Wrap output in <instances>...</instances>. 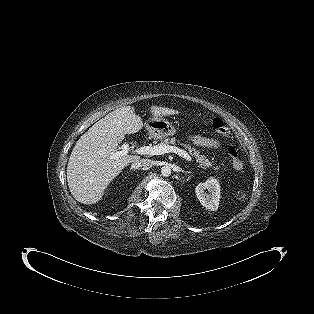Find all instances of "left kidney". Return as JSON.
Masks as SVG:
<instances>
[{
  "label": "left kidney",
  "instance_id": "5707ae66",
  "mask_svg": "<svg viewBox=\"0 0 314 314\" xmlns=\"http://www.w3.org/2000/svg\"><path fill=\"white\" fill-rule=\"evenodd\" d=\"M208 190L209 193H206ZM195 192L200 203L209 210L216 211L220 201V185L213 177L209 178L205 183H199Z\"/></svg>",
  "mask_w": 314,
  "mask_h": 314
}]
</instances>
